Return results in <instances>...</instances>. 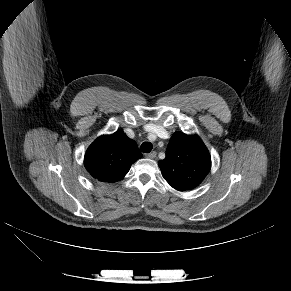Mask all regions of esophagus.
Returning <instances> with one entry per match:
<instances>
[{"mask_svg": "<svg viewBox=\"0 0 291 291\" xmlns=\"http://www.w3.org/2000/svg\"><path fill=\"white\" fill-rule=\"evenodd\" d=\"M156 155H157V153L155 151H153V152L146 154L145 156H146V158H149V159H155Z\"/></svg>", "mask_w": 291, "mask_h": 291, "instance_id": "1", "label": "esophagus"}]
</instances>
